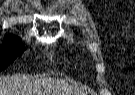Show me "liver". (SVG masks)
<instances>
[{
    "mask_svg": "<svg viewBox=\"0 0 135 95\" xmlns=\"http://www.w3.org/2000/svg\"><path fill=\"white\" fill-rule=\"evenodd\" d=\"M79 93L81 91L59 79H38L22 74L0 76V95H79Z\"/></svg>",
    "mask_w": 135,
    "mask_h": 95,
    "instance_id": "obj_1",
    "label": "liver"
}]
</instances>
